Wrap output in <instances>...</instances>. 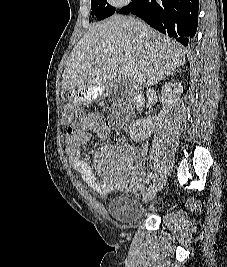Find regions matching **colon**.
<instances>
[{"label": "colon", "instance_id": "obj_1", "mask_svg": "<svg viewBox=\"0 0 227 267\" xmlns=\"http://www.w3.org/2000/svg\"><path fill=\"white\" fill-rule=\"evenodd\" d=\"M112 107L115 110L126 109V106L123 105L120 101H115ZM63 119L66 122H69L73 119H83V114L81 110L76 108L73 104H66L63 108Z\"/></svg>", "mask_w": 227, "mask_h": 267}]
</instances>
